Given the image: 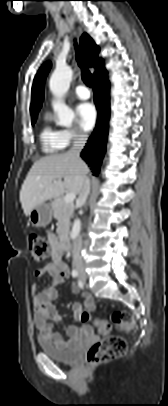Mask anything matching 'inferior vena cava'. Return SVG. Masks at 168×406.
<instances>
[{
  "mask_svg": "<svg viewBox=\"0 0 168 406\" xmlns=\"http://www.w3.org/2000/svg\"><path fill=\"white\" fill-rule=\"evenodd\" d=\"M87 137L88 136L84 135V134L77 135L73 142V146L68 151V153L71 156H73L78 163H82V160L80 158V152L82 151V149L85 146ZM89 193H90V180L87 176H84L82 189L79 193V197L77 200V203L79 206H82L85 204V202L89 196ZM81 248H82V238L78 237L73 242V250H72L73 263L76 266V268L83 267V261H82V257L80 254Z\"/></svg>",
  "mask_w": 168,
  "mask_h": 406,
  "instance_id": "602c4592",
  "label": "inferior vena cava"
}]
</instances>
